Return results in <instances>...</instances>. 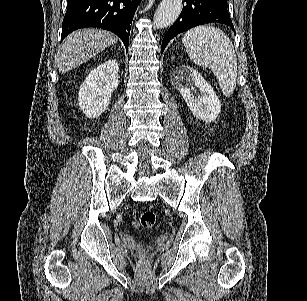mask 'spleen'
Listing matches in <instances>:
<instances>
[{
  "label": "spleen",
  "mask_w": 307,
  "mask_h": 301,
  "mask_svg": "<svg viewBox=\"0 0 307 301\" xmlns=\"http://www.w3.org/2000/svg\"><path fill=\"white\" fill-rule=\"evenodd\" d=\"M182 40L192 62L211 68L223 94H233L238 72L236 54L229 36L220 28L202 24L187 30Z\"/></svg>",
  "instance_id": "obj_1"
}]
</instances>
